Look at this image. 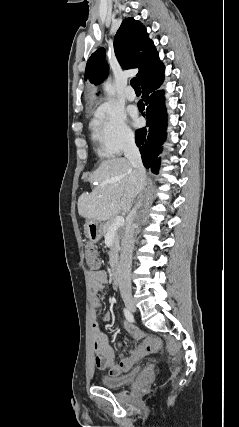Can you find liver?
Returning <instances> with one entry per match:
<instances>
[{"instance_id": "obj_1", "label": "liver", "mask_w": 239, "mask_h": 427, "mask_svg": "<svg viewBox=\"0 0 239 427\" xmlns=\"http://www.w3.org/2000/svg\"><path fill=\"white\" fill-rule=\"evenodd\" d=\"M92 192L78 199L79 215L97 221L129 212L139 194V179L127 158L104 160L89 177Z\"/></svg>"}]
</instances>
